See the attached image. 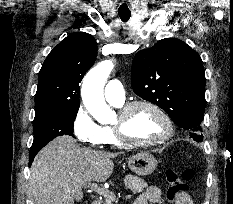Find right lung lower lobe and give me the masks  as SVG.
Wrapping results in <instances>:
<instances>
[{
	"instance_id": "right-lung-lower-lobe-1",
	"label": "right lung lower lobe",
	"mask_w": 233,
	"mask_h": 204,
	"mask_svg": "<svg viewBox=\"0 0 233 204\" xmlns=\"http://www.w3.org/2000/svg\"><path fill=\"white\" fill-rule=\"evenodd\" d=\"M43 147H31L30 149V155H29V166L33 162L34 157L36 154L42 149Z\"/></svg>"
}]
</instances>
